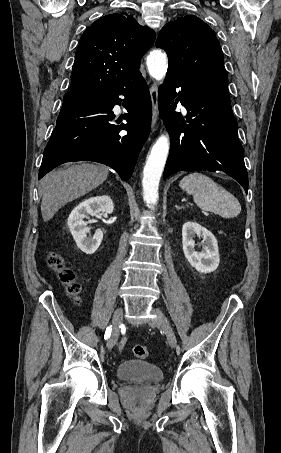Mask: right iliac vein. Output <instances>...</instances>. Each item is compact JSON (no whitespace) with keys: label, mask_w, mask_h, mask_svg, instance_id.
Here are the masks:
<instances>
[{"label":"right iliac vein","mask_w":281,"mask_h":453,"mask_svg":"<svg viewBox=\"0 0 281 453\" xmlns=\"http://www.w3.org/2000/svg\"><path fill=\"white\" fill-rule=\"evenodd\" d=\"M122 315H123V309L122 308H117L114 312V315H113V324L117 327L121 321H122ZM118 333H119V330L117 328H114L112 330V334H111V339H109V341H107L106 343V346H107V349L108 350H111L112 348H114V346H116V342H117V339H118Z\"/></svg>","instance_id":"63e3f726"}]
</instances>
